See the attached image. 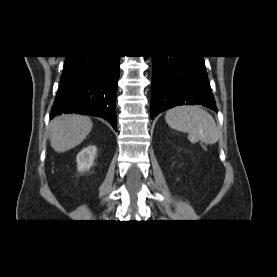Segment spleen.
<instances>
[{
    "label": "spleen",
    "instance_id": "spleen-1",
    "mask_svg": "<svg viewBox=\"0 0 277 277\" xmlns=\"http://www.w3.org/2000/svg\"><path fill=\"white\" fill-rule=\"evenodd\" d=\"M167 124L178 131L187 132L192 142L198 140L214 144L219 131L213 117L197 106H179L170 109L166 115Z\"/></svg>",
    "mask_w": 277,
    "mask_h": 277
}]
</instances>
